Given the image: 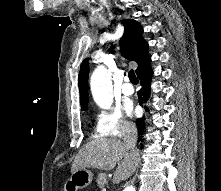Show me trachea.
<instances>
[{
    "label": "trachea",
    "instance_id": "1",
    "mask_svg": "<svg viewBox=\"0 0 221 191\" xmlns=\"http://www.w3.org/2000/svg\"><path fill=\"white\" fill-rule=\"evenodd\" d=\"M128 76H129V79L130 81L133 83V84H137L138 83V79L134 73L133 70H130L129 73H128Z\"/></svg>",
    "mask_w": 221,
    "mask_h": 191
}]
</instances>
